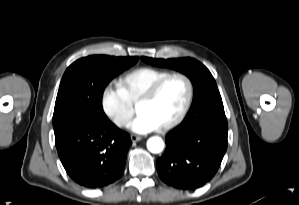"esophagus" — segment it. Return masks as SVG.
Masks as SVG:
<instances>
[{"label": "esophagus", "mask_w": 299, "mask_h": 205, "mask_svg": "<svg viewBox=\"0 0 299 205\" xmlns=\"http://www.w3.org/2000/svg\"><path fill=\"white\" fill-rule=\"evenodd\" d=\"M130 139H131L132 142H136V141H140L142 139V137L138 136V135H135V134H131Z\"/></svg>", "instance_id": "34e87169"}]
</instances>
